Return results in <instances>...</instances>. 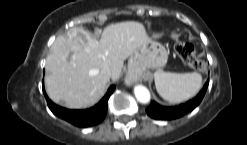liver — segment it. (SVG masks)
Here are the masks:
<instances>
[{
    "label": "liver",
    "mask_w": 247,
    "mask_h": 145,
    "mask_svg": "<svg viewBox=\"0 0 247 145\" xmlns=\"http://www.w3.org/2000/svg\"><path fill=\"white\" fill-rule=\"evenodd\" d=\"M150 41L144 26L135 21L107 26L100 40L81 28L69 29L55 39L46 59L48 96L72 109L94 105L105 94L109 79H119L124 60ZM106 67L110 78L101 73Z\"/></svg>",
    "instance_id": "obj_1"
}]
</instances>
